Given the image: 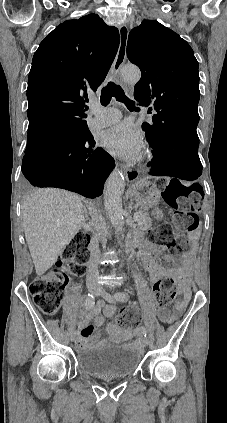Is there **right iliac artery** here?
Masks as SVG:
<instances>
[{
  "instance_id": "82829eb1",
  "label": "right iliac artery",
  "mask_w": 227,
  "mask_h": 423,
  "mask_svg": "<svg viewBox=\"0 0 227 423\" xmlns=\"http://www.w3.org/2000/svg\"><path fill=\"white\" fill-rule=\"evenodd\" d=\"M94 304H95V297L93 296V294L88 293V295H87V297L85 299V302H84L85 309L86 310L92 309V307L94 306ZM79 333H80L79 330L75 331V334L76 335H79Z\"/></svg>"
}]
</instances>
